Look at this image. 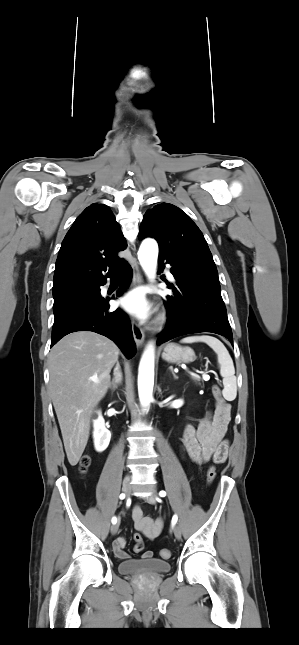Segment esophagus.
<instances>
[{"label": "esophagus", "instance_id": "obj_1", "mask_svg": "<svg viewBox=\"0 0 299 645\" xmlns=\"http://www.w3.org/2000/svg\"><path fill=\"white\" fill-rule=\"evenodd\" d=\"M132 269H133V284L135 286L141 285L143 283V277L136 259H134ZM132 332H133V337L136 345L137 346L142 345L145 339V334L135 320H132Z\"/></svg>", "mask_w": 299, "mask_h": 645}]
</instances>
